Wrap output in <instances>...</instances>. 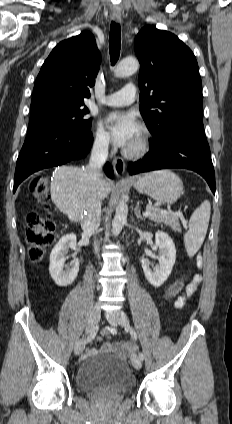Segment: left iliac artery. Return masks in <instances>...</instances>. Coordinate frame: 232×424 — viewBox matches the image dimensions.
Masks as SVG:
<instances>
[{
    "label": "left iliac artery",
    "mask_w": 232,
    "mask_h": 424,
    "mask_svg": "<svg viewBox=\"0 0 232 424\" xmlns=\"http://www.w3.org/2000/svg\"><path fill=\"white\" fill-rule=\"evenodd\" d=\"M127 329L129 330V332H130L131 336L133 337V339L137 340V334H136L135 330L132 327H130V326H128ZM139 358L141 360H144V354L142 352L139 353Z\"/></svg>",
    "instance_id": "obj_1"
}]
</instances>
